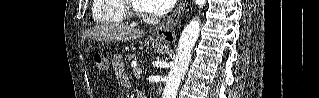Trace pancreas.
Listing matches in <instances>:
<instances>
[{
    "label": "pancreas",
    "mask_w": 319,
    "mask_h": 98,
    "mask_svg": "<svg viewBox=\"0 0 319 98\" xmlns=\"http://www.w3.org/2000/svg\"><path fill=\"white\" fill-rule=\"evenodd\" d=\"M137 59V56H136V54H130V55H127L126 57H125V62H131V61H133V60H136Z\"/></svg>",
    "instance_id": "pancreas-1"
}]
</instances>
